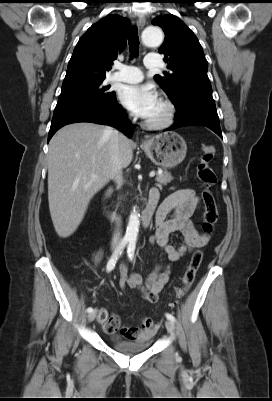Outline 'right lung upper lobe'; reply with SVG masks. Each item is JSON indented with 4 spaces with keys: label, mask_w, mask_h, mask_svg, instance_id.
Returning a JSON list of instances; mask_svg holds the SVG:
<instances>
[{
    "label": "right lung upper lobe",
    "mask_w": 272,
    "mask_h": 401,
    "mask_svg": "<svg viewBox=\"0 0 272 401\" xmlns=\"http://www.w3.org/2000/svg\"><path fill=\"white\" fill-rule=\"evenodd\" d=\"M130 21L107 15L92 25L79 39L69 61L62 90L105 79L113 60L126 47Z\"/></svg>",
    "instance_id": "right-lung-upper-lobe-1"
}]
</instances>
